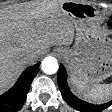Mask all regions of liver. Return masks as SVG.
I'll return each mask as SVG.
<instances>
[{
  "label": "liver",
  "instance_id": "6515ba94",
  "mask_svg": "<svg viewBox=\"0 0 112 112\" xmlns=\"http://www.w3.org/2000/svg\"><path fill=\"white\" fill-rule=\"evenodd\" d=\"M27 3L9 18H0V92L21 73L25 53L43 54L53 45H69L74 24L62 10L64 0ZM104 39L96 40L101 43ZM105 41V40H104Z\"/></svg>",
  "mask_w": 112,
  "mask_h": 112
}]
</instances>
